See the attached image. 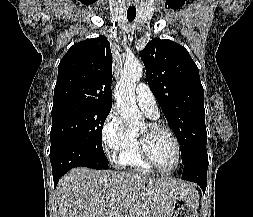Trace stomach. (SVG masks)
<instances>
[{
    "label": "stomach",
    "mask_w": 253,
    "mask_h": 217,
    "mask_svg": "<svg viewBox=\"0 0 253 217\" xmlns=\"http://www.w3.org/2000/svg\"><path fill=\"white\" fill-rule=\"evenodd\" d=\"M198 205V201L195 199L177 200L168 217H198Z\"/></svg>",
    "instance_id": "obj_1"
}]
</instances>
